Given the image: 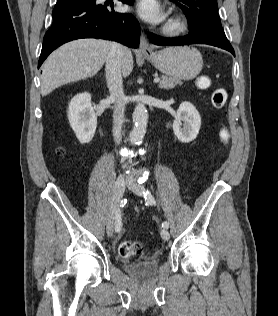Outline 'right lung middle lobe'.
Masks as SVG:
<instances>
[{
	"label": "right lung middle lobe",
	"instance_id": "dd1d6c3e",
	"mask_svg": "<svg viewBox=\"0 0 278 316\" xmlns=\"http://www.w3.org/2000/svg\"><path fill=\"white\" fill-rule=\"evenodd\" d=\"M61 1H64V0H58L57 2H61Z\"/></svg>",
	"mask_w": 278,
	"mask_h": 316
}]
</instances>
